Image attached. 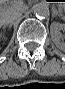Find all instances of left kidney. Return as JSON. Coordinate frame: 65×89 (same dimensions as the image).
Listing matches in <instances>:
<instances>
[{
  "label": "left kidney",
  "mask_w": 65,
  "mask_h": 89,
  "mask_svg": "<svg viewBox=\"0 0 65 89\" xmlns=\"http://www.w3.org/2000/svg\"><path fill=\"white\" fill-rule=\"evenodd\" d=\"M56 26L59 28V30H61L62 32L65 31V25L64 24H56ZM65 35L62 33H53L52 34V40L54 42V44L56 45L57 48H59L60 50L64 51L65 50Z\"/></svg>",
  "instance_id": "left-kidney-1"
}]
</instances>
